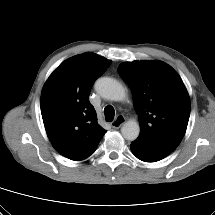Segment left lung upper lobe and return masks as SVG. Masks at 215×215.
<instances>
[{
    "label": "left lung upper lobe",
    "mask_w": 215,
    "mask_h": 215,
    "mask_svg": "<svg viewBox=\"0 0 215 215\" xmlns=\"http://www.w3.org/2000/svg\"><path fill=\"white\" fill-rule=\"evenodd\" d=\"M118 73L132 91L138 114L140 134L134 142L171 154L186 132L190 115V99L182 79L161 61L126 62Z\"/></svg>",
    "instance_id": "1"
}]
</instances>
